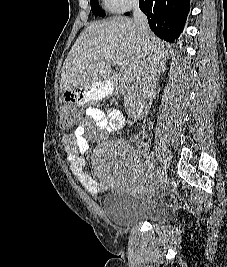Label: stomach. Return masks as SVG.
Segmentation results:
<instances>
[{
  "mask_svg": "<svg viewBox=\"0 0 227 267\" xmlns=\"http://www.w3.org/2000/svg\"><path fill=\"white\" fill-rule=\"evenodd\" d=\"M112 93L111 85L96 84L84 87H67L61 91L60 104H76L82 106L87 100L92 101Z\"/></svg>",
  "mask_w": 227,
  "mask_h": 267,
  "instance_id": "obj_1",
  "label": "stomach"
}]
</instances>
